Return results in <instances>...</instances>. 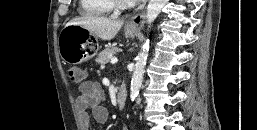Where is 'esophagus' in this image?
<instances>
[{
	"instance_id": "34e87169",
	"label": "esophagus",
	"mask_w": 257,
	"mask_h": 130,
	"mask_svg": "<svg viewBox=\"0 0 257 130\" xmlns=\"http://www.w3.org/2000/svg\"><path fill=\"white\" fill-rule=\"evenodd\" d=\"M146 20V12L143 11L142 13L136 14L133 16L127 23V25L131 28H138L145 23Z\"/></svg>"
}]
</instances>
